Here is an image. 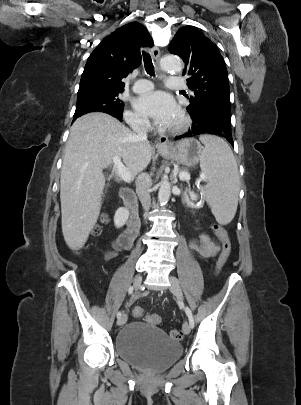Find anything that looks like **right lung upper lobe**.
Wrapping results in <instances>:
<instances>
[{
  "mask_svg": "<svg viewBox=\"0 0 301 405\" xmlns=\"http://www.w3.org/2000/svg\"><path fill=\"white\" fill-rule=\"evenodd\" d=\"M152 47L147 29L138 22L128 23L105 37L89 56L78 92L124 90L122 78L139 66L141 47Z\"/></svg>",
  "mask_w": 301,
  "mask_h": 405,
  "instance_id": "cb5924a9",
  "label": "right lung upper lobe"
}]
</instances>
